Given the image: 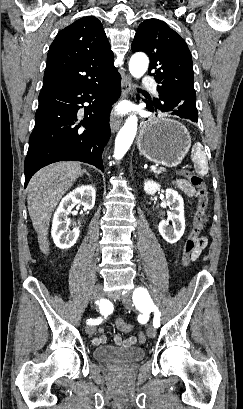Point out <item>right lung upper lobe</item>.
<instances>
[{"instance_id":"right-lung-upper-lobe-1","label":"right lung upper lobe","mask_w":243,"mask_h":409,"mask_svg":"<svg viewBox=\"0 0 243 409\" xmlns=\"http://www.w3.org/2000/svg\"><path fill=\"white\" fill-rule=\"evenodd\" d=\"M101 22L83 17L61 30L52 42L40 93L97 82L117 69Z\"/></svg>"}]
</instances>
